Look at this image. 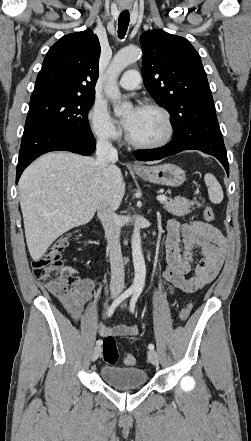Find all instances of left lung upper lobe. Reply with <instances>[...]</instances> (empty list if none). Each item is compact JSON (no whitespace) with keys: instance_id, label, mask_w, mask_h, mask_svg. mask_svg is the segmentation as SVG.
Wrapping results in <instances>:
<instances>
[{"instance_id":"5c2ea615","label":"left lung upper lobe","mask_w":251,"mask_h":441,"mask_svg":"<svg viewBox=\"0 0 251 441\" xmlns=\"http://www.w3.org/2000/svg\"><path fill=\"white\" fill-rule=\"evenodd\" d=\"M140 43L144 85L170 113L173 130L198 114L216 116L200 56L187 39L153 30Z\"/></svg>"}]
</instances>
